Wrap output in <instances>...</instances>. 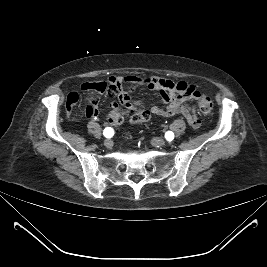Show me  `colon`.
Here are the masks:
<instances>
[{
  "mask_svg": "<svg viewBox=\"0 0 267 267\" xmlns=\"http://www.w3.org/2000/svg\"><path fill=\"white\" fill-rule=\"evenodd\" d=\"M199 110L204 115H210L213 111V102L207 95H201L198 102ZM150 111L143 107L131 110V121L135 124L148 121ZM123 121V113L121 110H112L108 116V123L111 126H118Z\"/></svg>",
  "mask_w": 267,
  "mask_h": 267,
  "instance_id": "colon-1",
  "label": "colon"
}]
</instances>
